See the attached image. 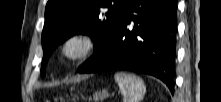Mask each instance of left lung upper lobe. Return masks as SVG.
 <instances>
[{
  "label": "left lung upper lobe",
  "instance_id": "5c2ea615",
  "mask_svg": "<svg viewBox=\"0 0 221 102\" xmlns=\"http://www.w3.org/2000/svg\"><path fill=\"white\" fill-rule=\"evenodd\" d=\"M126 2L127 0H48L42 32L43 72L57 45L78 33L91 36L95 44V55L111 37Z\"/></svg>",
  "mask_w": 221,
  "mask_h": 102
}]
</instances>
